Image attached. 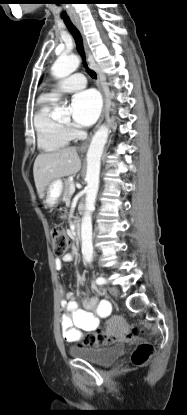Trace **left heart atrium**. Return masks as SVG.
<instances>
[{
    "instance_id": "left-heart-atrium-1",
    "label": "left heart atrium",
    "mask_w": 187,
    "mask_h": 415,
    "mask_svg": "<svg viewBox=\"0 0 187 415\" xmlns=\"http://www.w3.org/2000/svg\"><path fill=\"white\" fill-rule=\"evenodd\" d=\"M101 109L99 94L92 89L84 90L75 94L72 98L70 110L72 118L78 126L92 125Z\"/></svg>"
}]
</instances>
